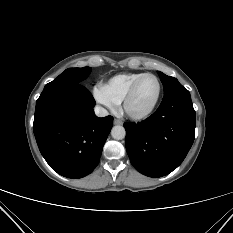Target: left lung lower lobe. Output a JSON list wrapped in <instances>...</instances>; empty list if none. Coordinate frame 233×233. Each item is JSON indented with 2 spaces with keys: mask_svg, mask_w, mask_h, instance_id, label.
<instances>
[{
  "mask_svg": "<svg viewBox=\"0 0 233 233\" xmlns=\"http://www.w3.org/2000/svg\"><path fill=\"white\" fill-rule=\"evenodd\" d=\"M132 165L149 177L176 169L195 138V111L189 92L163 98L156 112L139 123H124Z\"/></svg>",
  "mask_w": 233,
  "mask_h": 233,
  "instance_id": "1",
  "label": "left lung lower lobe"
}]
</instances>
